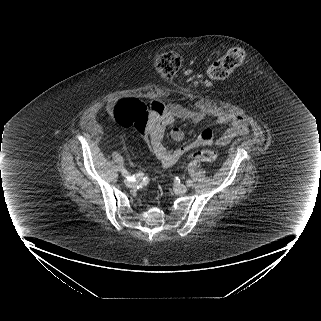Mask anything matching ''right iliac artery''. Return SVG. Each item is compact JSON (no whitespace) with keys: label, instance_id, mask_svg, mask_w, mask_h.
<instances>
[{"label":"right iliac artery","instance_id":"obj_1","mask_svg":"<svg viewBox=\"0 0 321 321\" xmlns=\"http://www.w3.org/2000/svg\"><path fill=\"white\" fill-rule=\"evenodd\" d=\"M121 172H122V175L126 178V179H128V180H135V178H138L139 176H141L142 174H136V175H133V176H131L128 172H127V170L125 169V168H122L121 169Z\"/></svg>","mask_w":321,"mask_h":321}]
</instances>
